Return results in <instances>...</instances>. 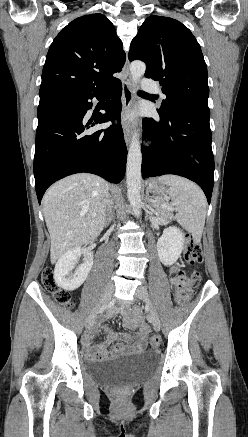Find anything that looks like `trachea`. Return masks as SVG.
I'll use <instances>...</instances> for the list:
<instances>
[{
  "mask_svg": "<svg viewBox=\"0 0 248 437\" xmlns=\"http://www.w3.org/2000/svg\"><path fill=\"white\" fill-rule=\"evenodd\" d=\"M138 93H140V94H147V93H145V92H143V91H139Z\"/></svg>",
  "mask_w": 248,
  "mask_h": 437,
  "instance_id": "3493384b",
  "label": "trachea"
}]
</instances>
